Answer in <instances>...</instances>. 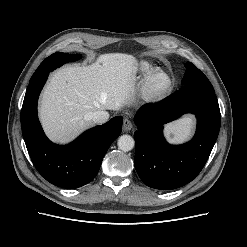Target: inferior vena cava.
Masks as SVG:
<instances>
[{
    "label": "inferior vena cava",
    "mask_w": 247,
    "mask_h": 247,
    "mask_svg": "<svg viewBox=\"0 0 247 247\" xmlns=\"http://www.w3.org/2000/svg\"><path fill=\"white\" fill-rule=\"evenodd\" d=\"M89 117L97 124H103L108 121L109 113L103 110H97L89 114Z\"/></svg>",
    "instance_id": "1"
}]
</instances>
